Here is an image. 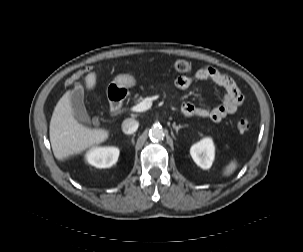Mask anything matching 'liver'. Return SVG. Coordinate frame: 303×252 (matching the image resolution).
Instances as JSON below:
<instances>
[{
	"label": "liver",
	"instance_id": "1",
	"mask_svg": "<svg viewBox=\"0 0 303 252\" xmlns=\"http://www.w3.org/2000/svg\"><path fill=\"white\" fill-rule=\"evenodd\" d=\"M96 73L91 72L85 77L87 89L96 85ZM80 89L76 86L75 90ZM68 91L57 103L50 121V142L57 160L83 152L84 150L104 142L109 131L104 128L91 129L80 124L74 117L71 96Z\"/></svg>",
	"mask_w": 303,
	"mask_h": 252
}]
</instances>
